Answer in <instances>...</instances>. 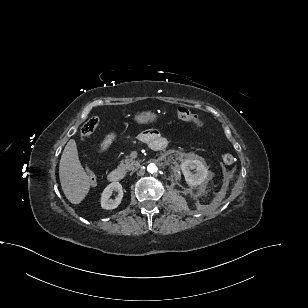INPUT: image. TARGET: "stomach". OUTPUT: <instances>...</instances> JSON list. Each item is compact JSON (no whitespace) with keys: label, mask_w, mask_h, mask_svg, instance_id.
Here are the masks:
<instances>
[{"label":"stomach","mask_w":308,"mask_h":308,"mask_svg":"<svg viewBox=\"0 0 308 308\" xmlns=\"http://www.w3.org/2000/svg\"><path fill=\"white\" fill-rule=\"evenodd\" d=\"M157 120V115L151 111L139 112L134 116V121L138 124H149Z\"/></svg>","instance_id":"obj_1"}]
</instances>
